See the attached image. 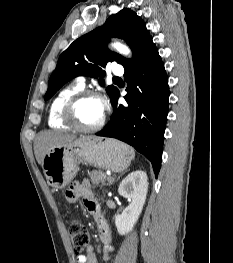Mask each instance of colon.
<instances>
[{"label": "colon", "instance_id": "colon-1", "mask_svg": "<svg viewBox=\"0 0 233 263\" xmlns=\"http://www.w3.org/2000/svg\"><path fill=\"white\" fill-rule=\"evenodd\" d=\"M68 232L72 240L74 252L81 255L89 245V235L86 227L77 221L69 224Z\"/></svg>", "mask_w": 233, "mask_h": 263}]
</instances>
